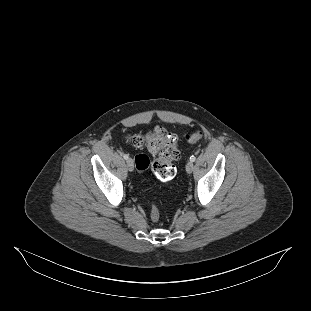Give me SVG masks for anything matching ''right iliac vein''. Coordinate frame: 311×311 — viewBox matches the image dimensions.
Masks as SVG:
<instances>
[{"mask_svg": "<svg viewBox=\"0 0 311 311\" xmlns=\"http://www.w3.org/2000/svg\"><path fill=\"white\" fill-rule=\"evenodd\" d=\"M126 164H127V168L129 171H133L134 169V162L131 158H128L127 161H126Z\"/></svg>", "mask_w": 311, "mask_h": 311, "instance_id": "obj_1", "label": "right iliac vein"}]
</instances>
